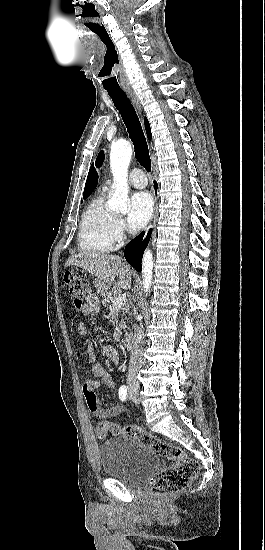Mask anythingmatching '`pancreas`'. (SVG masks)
I'll return each mask as SVG.
<instances>
[{
  "label": "pancreas",
  "mask_w": 265,
  "mask_h": 550,
  "mask_svg": "<svg viewBox=\"0 0 265 550\" xmlns=\"http://www.w3.org/2000/svg\"><path fill=\"white\" fill-rule=\"evenodd\" d=\"M121 294V291H120V288L118 287H113L112 290H110L104 297V300H103V305L105 307H107L108 309H111L114 307V304H113V301L115 300V298L119 297ZM128 305H126L125 308H122V312L124 314V312H127L128 311Z\"/></svg>",
  "instance_id": "pancreas-1"
}]
</instances>
